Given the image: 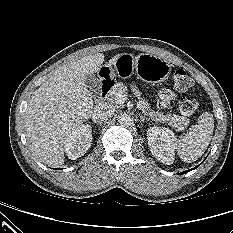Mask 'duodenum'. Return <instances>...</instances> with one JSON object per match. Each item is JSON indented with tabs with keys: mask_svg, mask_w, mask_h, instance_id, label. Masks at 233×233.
<instances>
[{
	"mask_svg": "<svg viewBox=\"0 0 233 233\" xmlns=\"http://www.w3.org/2000/svg\"><path fill=\"white\" fill-rule=\"evenodd\" d=\"M114 86V79L110 77H106L102 80L101 87H100V93L98 96L97 101L99 103L103 102L107 95L109 94L110 90Z\"/></svg>",
	"mask_w": 233,
	"mask_h": 233,
	"instance_id": "410a0bca",
	"label": "duodenum"
}]
</instances>
